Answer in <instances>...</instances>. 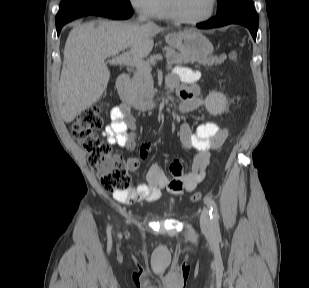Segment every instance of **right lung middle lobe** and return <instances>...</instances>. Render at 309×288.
Masks as SVG:
<instances>
[{
    "label": "right lung middle lobe",
    "mask_w": 309,
    "mask_h": 288,
    "mask_svg": "<svg viewBox=\"0 0 309 288\" xmlns=\"http://www.w3.org/2000/svg\"><path fill=\"white\" fill-rule=\"evenodd\" d=\"M94 4H109L131 7L129 0H62L60 9L56 15V23L62 21L71 13Z\"/></svg>",
    "instance_id": "right-lung-middle-lobe-1"
}]
</instances>
